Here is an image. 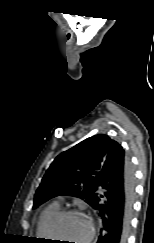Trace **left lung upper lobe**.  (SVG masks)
Returning a JSON list of instances; mask_svg holds the SVG:
<instances>
[{"label": "left lung upper lobe", "mask_w": 154, "mask_h": 243, "mask_svg": "<svg viewBox=\"0 0 154 243\" xmlns=\"http://www.w3.org/2000/svg\"><path fill=\"white\" fill-rule=\"evenodd\" d=\"M119 147L107 135H95L58 155L35 193L33 208L58 195L78 197L93 206L98 175L109 151Z\"/></svg>", "instance_id": "left-lung-upper-lobe-1"}]
</instances>
